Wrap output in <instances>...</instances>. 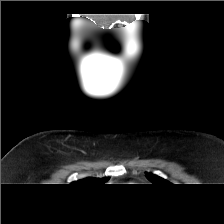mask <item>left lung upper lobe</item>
I'll return each mask as SVG.
<instances>
[{"label":"left lung upper lobe","instance_id":"left-lung-upper-lobe-1","mask_svg":"<svg viewBox=\"0 0 224 224\" xmlns=\"http://www.w3.org/2000/svg\"><path fill=\"white\" fill-rule=\"evenodd\" d=\"M146 177L153 183V184H166L169 183L168 181L164 180L163 178L154 175L152 173H146Z\"/></svg>","mask_w":224,"mask_h":224}]
</instances>
